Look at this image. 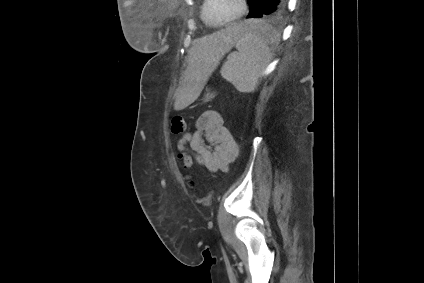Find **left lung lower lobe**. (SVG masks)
<instances>
[{"label":"left lung lower lobe","instance_id":"obj_1","mask_svg":"<svg viewBox=\"0 0 424 283\" xmlns=\"http://www.w3.org/2000/svg\"><path fill=\"white\" fill-rule=\"evenodd\" d=\"M288 0H258L255 12L247 18H263L274 14L281 8L284 10ZM272 40V37H269Z\"/></svg>","mask_w":424,"mask_h":283}]
</instances>
